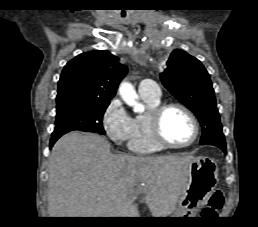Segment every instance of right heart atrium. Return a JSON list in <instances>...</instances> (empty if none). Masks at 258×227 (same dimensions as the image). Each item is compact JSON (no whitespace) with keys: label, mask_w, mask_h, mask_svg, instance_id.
<instances>
[{"label":"right heart atrium","mask_w":258,"mask_h":227,"mask_svg":"<svg viewBox=\"0 0 258 227\" xmlns=\"http://www.w3.org/2000/svg\"><path fill=\"white\" fill-rule=\"evenodd\" d=\"M102 126L110 140L118 145L129 142L134 130L133 118L119 99H113L107 106Z\"/></svg>","instance_id":"1"}]
</instances>
